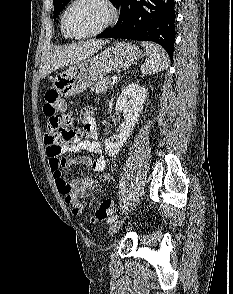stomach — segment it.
Wrapping results in <instances>:
<instances>
[{
  "label": "stomach",
  "instance_id": "stomach-1",
  "mask_svg": "<svg viewBox=\"0 0 233 294\" xmlns=\"http://www.w3.org/2000/svg\"><path fill=\"white\" fill-rule=\"evenodd\" d=\"M141 56L138 46L116 42L94 57L79 62L53 79V88L62 96L80 94L116 69L126 68Z\"/></svg>",
  "mask_w": 233,
  "mask_h": 294
}]
</instances>
